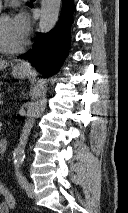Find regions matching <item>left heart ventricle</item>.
<instances>
[{
	"label": "left heart ventricle",
	"mask_w": 128,
	"mask_h": 213,
	"mask_svg": "<svg viewBox=\"0 0 128 213\" xmlns=\"http://www.w3.org/2000/svg\"><path fill=\"white\" fill-rule=\"evenodd\" d=\"M0 35L3 42L8 47L16 48L22 45L14 32L12 21L9 17L4 18L0 21Z\"/></svg>",
	"instance_id": "1"
}]
</instances>
